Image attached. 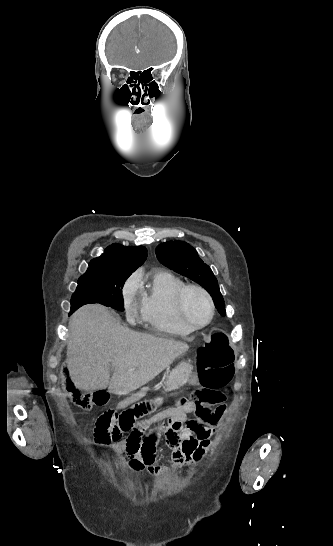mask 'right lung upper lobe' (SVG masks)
<instances>
[{
	"instance_id": "right-lung-upper-lobe-1",
	"label": "right lung upper lobe",
	"mask_w": 333,
	"mask_h": 546,
	"mask_svg": "<svg viewBox=\"0 0 333 546\" xmlns=\"http://www.w3.org/2000/svg\"><path fill=\"white\" fill-rule=\"evenodd\" d=\"M146 258L147 250L144 246L126 247L112 244L105 249L101 256L90 261L88 270L111 268L134 272L144 263Z\"/></svg>"
}]
</instances>
